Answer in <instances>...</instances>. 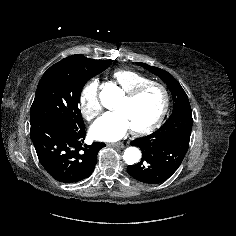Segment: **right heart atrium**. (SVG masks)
<instances>
[{"mask_svg": "<svg viewBox=\"0 0 236 236\" xmlns=\"http://www.w3.org/2000/svg\"><path fill=\"white\" fill-rule=\"evenodd\" d=\"M79 106L82 116L87 121L96 119L102 111L99 100V81L91 79L81 90L79 96Z\"/></svg>", "mask_w": 236, "mask_h": 236, "instance_id": "1", "label": "right heart atrium"}]
</instances>
